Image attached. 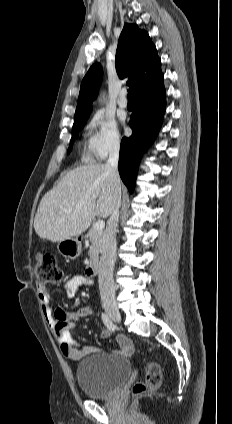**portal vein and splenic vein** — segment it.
<instances>
[{"instance_id": "1", "label": "portal vein and splenic vein", "mask_w": 232, "mask_h": 424, "mask_svg": "<svg viewBox=\"0 0 232 424\" xmlns=\"http://www.w3.org/2000/svg\"><path fill=\"white\" fill-rule=\"evenodd\" d=\"M105 227V222L103 220H98L95 224H94V228L96 230H103V228Z\"/></svg>"}]
</instances>
